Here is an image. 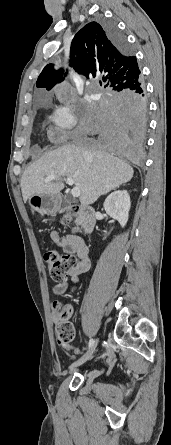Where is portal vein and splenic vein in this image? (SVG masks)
<instances>
[{"instance_id": "portal-vein-and-splenic-vein-1", "label": "portal vein and splenic vein", "mask_w": 171, "mask_h": 445, "mask_svg": "<svg viewBox=\"0 0 171 445\" xmlns=\"http://www.w3.org/2000/svg\"><path fill=\"white\" fill-rule=\"evenodd\" d=\"M55 179H56V176L51 175V176H49V177H47L45 179V182L48 183V182L53 181ZM66 183L68 185H73L74 184V180L72 178H67L66 179ZM71 194H72L73 197L78 198L80 196V189L78 187L72 188Z\"/></svg>"}]
</instances>
